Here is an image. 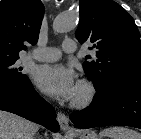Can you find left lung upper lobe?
<instances>
[{"mask_svg":"<svg viewBox=\"0 0 141 139\" xmlns=\"http://www.w3.org/2000/svg\"><path fill=\"white\" fill-rule=\"evenodd\" d=\"M79 11L75 35L81 44L93 43L96 60L83 68L96 90L116 81H141V41L133 18L112 0H80Z\"/></svg>","mask_w":141,"mask_h":139,"instance_id":"obj_1","label":"left lung upper lobe"}]
</instances>
